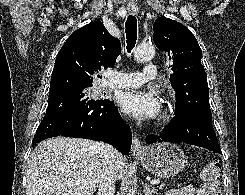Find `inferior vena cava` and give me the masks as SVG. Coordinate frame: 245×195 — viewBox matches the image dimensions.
<instances>
[{
  "mask_svg": "<svg viewBox=\"0 0 245 195\" xmlns=\"http://www.w3.org/2000/svg\"><path fill=\"white\" fill-rule=\"evenodd\" d=\"M104 161L98 180V195H114L115 193V175H114V157L116 150L108 144H103Z\"/></svg>",
  "mask_w": 245,
  "mask_h": 195,
  "instance_id": "602c4592",
  "label": "inferior vena cava"
}]
</instances>
